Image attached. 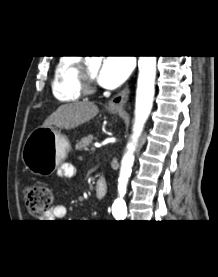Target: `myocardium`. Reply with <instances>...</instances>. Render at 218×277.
<instances>
[{
    "instance_id": "myocardium-1",
    "label": "myocardium",
    "mask_w": 218,
    "mask_h": 277,
    "mask_svg": "<svg viewBox=\"0 0 218 277\" xmlns=\"http://www.w3.org/2000/svg\"><path fill=\"white\" fill-rule=\"evenodd\" d=\"M79 84L83 93H92L95 91L94 77L89 73L87 66L81 62L79 67Z\"/></svg>"
}]
</instances>
